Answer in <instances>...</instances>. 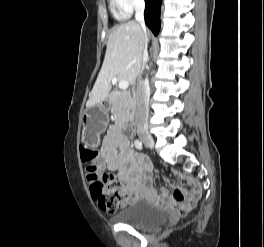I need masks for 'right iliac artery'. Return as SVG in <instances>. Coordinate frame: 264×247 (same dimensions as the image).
<instances>
[{
	"mask_svg": "<svg viewBox=\"0 0 264 247\" xmlns=\"http://www.w3.org/2000/svg\"><path fill=\"white\" fill-rule=\"evenodd\" d=\"M134 145H135V147H136L137 149H139V150H142V148H143L142 142L139 141L138 139H136V140L134 141Z\"/></svg>",
	"mask_w": 264,
	"mask_h": 247,
	"instance_id": "82829eb1",
	"label": "right iliac artery"
}]
</instances>
